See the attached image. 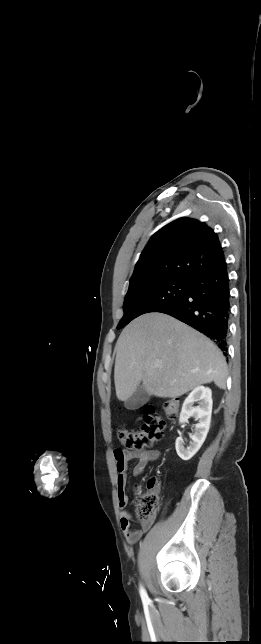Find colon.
I'll return each mask as SVG.
<instances>
[{
	"instance_id": "1",
	"label": "colon",
	"mask_w": 261,
	"mask_h": 644,
	"mask_svg": "<svg viewBox=\"0 0 261 644\" xmlns=\"http://www.w3.org/2000/svg\"><path fill=\"white\" fill-rule=\"evenodd\" d=\"M163 411L167 418L175 419L179 411L178 399H167L163 403ZM164 426V419L155 407L147 405L143 409V424L141 430L133 432L121 428L118 430L117 436L120 443L128 449H148L162 439ZM159 506L158 481L155 478H151L148 480L145 490L139 491L136 505L139 520L142 523L151 521L157 513Z\"/></svg>"
}]
</instances>
